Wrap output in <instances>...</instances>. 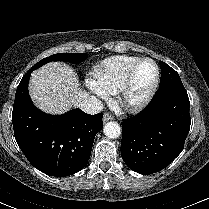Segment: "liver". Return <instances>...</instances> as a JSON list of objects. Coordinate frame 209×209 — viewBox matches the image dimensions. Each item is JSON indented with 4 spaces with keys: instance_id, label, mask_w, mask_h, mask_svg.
<instances>
[{
    "instance_id": "1",
    "label": "liver",
    "mask_w": 209,
    "mask_h": 209,
    "mask_svg": "<svg viewBox=\"0 0 209 209\" xmlns=\"http://www.w3.org/2000/svg\"><path fill=\"white\" fill-rule=\"evenodd\" d=\"M30 97L36 107L48 114H63L77 106L89 93L80 88L74 70L61 62H50L31 75Z\"/></svg>"
}]
</instances>
